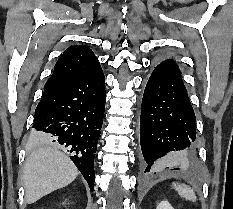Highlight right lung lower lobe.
<instances>
[{"label": "right lung lower lobe", "mask_w": 233, "mask_h": 209, "mask_svg": "<svg viewBox=\"0 0 233 209\" xmlns=\"http://www.w3.org/2000/svg\"><path fill=\"white\" fill-rule=\"evenodd\" d=\"M106 92L100 64L84 75L44 91L33 128L67 147L70 159L94 190V158L103 123Z\"/></svg>", "instance_id": "1"}]
</instances>
